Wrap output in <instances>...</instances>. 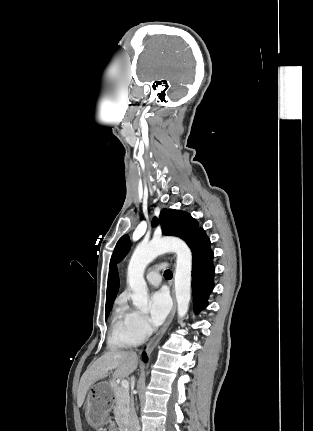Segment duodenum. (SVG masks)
<instances>
[{"label":"duodenum","instance_id":"obj_1","mask_svg":"<svg viewBox=\"0 0 313 431\" xmlns=\"http://www.w3.org/2000/svg\"><path fill=\"white\" fill-rule=\"evenodd\" d=\"M120 431H135V430H133V429L131 428V426H130L129 422H128V421H126V422H124V423L121 425V430H120Z\"/></svg>","mask_w":313,"mask_h":431}]
</instances>
